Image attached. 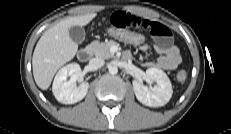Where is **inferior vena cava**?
Masks as SVG:
<instances>
[{"label":"inferior vena cava","mask_w":231,"mask_h":134,"mask_svg":"<svg viewBox=\"0 0 231 134\" xmlns=\"http://www.w3.org/2000/svg\"><path fill=\"white\" fill-rule=\"evenodd\" d=\"M105 64L104 60L101 59V58H92L90 61H89V66L92 68V69H99L101 68L103 65Z\"/></svg>","instance_id":"1"}]
</instances>
